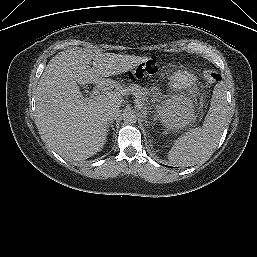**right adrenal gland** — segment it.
Segmentation results:
<instances>
[{"mask_svg": "<svg viewBox=\"0 0 257 257\" xmlns=\"http://www.w3.org/2000/svg\"><path fill=\"white\" fill-rule=\"evenodd\" d=\"M110 128L114 131V134H115V128H114V125H113V121L108 123L107 131H110Z\"/></svg>", "mask_w": 257, "mask_h": 257, "instance_id": "right-adrenal-gland-1", "label": "right adrenal gland"}]
</instances>
